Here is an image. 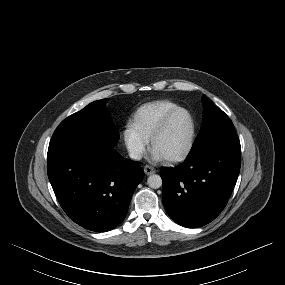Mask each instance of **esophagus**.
<instances>
[{
	"label": "esophagus",
	"mask_w": 285,
	"mask_h": 285,
	"mask_svg": "<svg viewBox=\"0 0 285 285\" xmlns=\"http://www.w3.org/2000/svg\"><path fill=\"white\" fill-rule=\"evenodd\" d=\"M144 172L146 175H151V174H154L156 172V170L153 167L146 165L144 167Z\"/></svg>",
	"instance_id": "1"
}]
</instances>
